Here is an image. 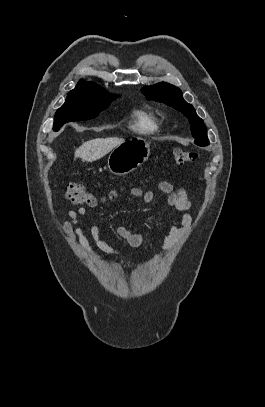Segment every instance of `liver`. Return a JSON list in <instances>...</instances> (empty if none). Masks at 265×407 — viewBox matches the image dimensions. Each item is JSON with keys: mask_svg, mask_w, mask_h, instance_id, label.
Returning <instances> with one entry per match:
<instances>
[{"mask_svg": "<svg viewBox=\"0 0 265 407\" xmlns=\"http://www.w3.org/2000/svg\"><path fill=\"white\" fill-rule=\"evenodd\" d=\"M125 140L118 137L96 138L83 143L75 151V158L93 162L104 157L115 147L124 143Z\"/></svg>", "mask_w": 265, "mask_h": 407, "instance_id": "6515ba94", "label": "liver"}]
</instances>
